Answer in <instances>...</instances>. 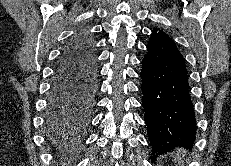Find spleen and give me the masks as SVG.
<instances>
[{
    "mask_svg": "<svg viewBox=\"0 0 231 166\" xmlns=\"http://www.w3.org/2000/svg\"><path fill=\"white\" fill-rule=\"evenodd\" d=\"M184 153H185V151H183L182 149H177L176 159L181 160V155L184 156Z\"/></svg>",
    "mask_w": 231,
    "mask_h": 166,
    "instance_id": "1",
    "label": "spleen"
}]
</instances>
